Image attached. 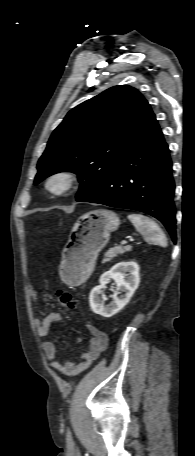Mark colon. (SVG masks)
Masks as SVG:
<instances>
[{
    "label": "colon",
    "instance_id": "5ec220e1",
    "mask_svg": "<svg viewBox=\"0 0 195 456\" xmlns=\"http://www.w3.org/2000/svg\"><path fill=\"white\" fill-rule=\"evenodd\" d=\"M55 295H56L58 301L63 306L68 307V308H73L75 306V301L73 300V298L71 297L70 294L62 292V291H57ZM46 298L48 299V298H50V296H47Z\"/></svg>",
    "mask_w": 195,
    "mask_h": 456
}]
</instances>
